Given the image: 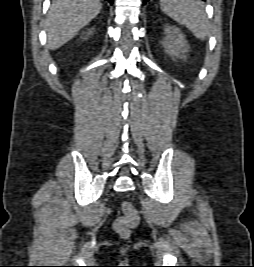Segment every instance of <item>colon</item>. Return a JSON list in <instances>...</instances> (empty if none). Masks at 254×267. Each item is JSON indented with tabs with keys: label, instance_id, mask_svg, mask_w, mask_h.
Here are the masks:
<instances>
[{
	"label": "colon",
	"instance_id": "1",
	"mask_svg": "<svg viewBox=\"0 0 254 267\" xmlns=\"http://www.w3.org/2000/svg\"><path fill=\"white\" fill-rule=\"evenodd\" d=\"M122 216L116 219L114 228L123 237L129 235L130 230L139 222V214L136 208L129 202L123 201L121 204Z\"/></svg>",
	"mask_w": 254,
	"mask_h": 267
}]
</instances>
